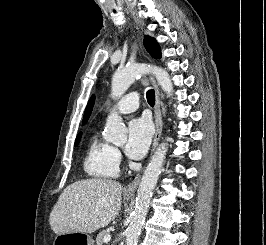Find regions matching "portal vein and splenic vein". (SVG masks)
<instances>
[{
	"label": "portal vein and splenic vein",
	"mask_w": 266,
	"mask_h": 245,
	"mask_svg": "<svg viewBox=\"0 0 266 245\" xmlns=\"http://www.w3.org/2000/svg\"><path fill=\"white\" fill-rule=\"evenodd\" d=\"M103 241H104V243H109V241H111V235H106V237H104Z\"/></svg>",
	"instance_id": "obj_1"
}]
</instances>
